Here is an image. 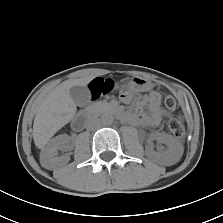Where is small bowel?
Returning a JSON list of instances; mask_svg holds the SVG:
<instances>
[{"mask_svg":"<svg viewBox=\"0 0 223 223\" xmlns=\"http://www.w3.org/2000/svg\"><path fill=\"white\" fill-rule=\"evenodd\" d=\"M93 92L95 96L94 98H98L100 95H102L101 92L98 91V88H96ZM121 100L124 103H129L131 98L129 95L123 94L121 96ZM139 105L140 107H147L149 114L140 112L136 115H127L126 120L132 124H138L149 128L158 127L163 116L165 115V112L161 107V95L156 91H149L142 97Z\"/></svg>","mask_w":223,"mask_h":223,"instance_id":"1","label":"small bowel"}]
</instances>
